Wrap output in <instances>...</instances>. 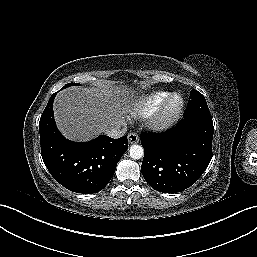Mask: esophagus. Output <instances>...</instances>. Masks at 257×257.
Returning <instances> with one entry per match:
<instances>
[{"label": "esophagus", "instance_id": "obj_1", "mask_svg": "<svg viewBox=\"0 0 257 257\" xmlns=\"http://www.w3.org/2000/svg\"><path fill=\"white\" fill-rule=\"evenodd\" d=\"M128 142H129L130 144H136V143H138V142H139V137H138V135H137L136 133H134V132L129 133V134H128Z\"/></svg>", "mask_w": 257, "mask_h": 257}]
</instances>
